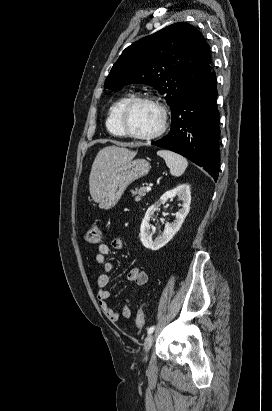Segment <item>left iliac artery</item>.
I'll list each match as a JSON object with an SVG mask.
<instances>
[{"label":"left iliac artery","mask_w":272,"mask_h":411,"mask_svg":"<svg viewBox=\"0 0 272 411\" xmlns=\"http://www.w3.org/2000/svg\"><path fill=\"white\" fill-rule=\"evenodd\" d=\"M154 329H155V326L149 327L148 330H147V333L151 334L154 331Z\"/></svg>","instance_id":"44dca946"}]
</instances>
